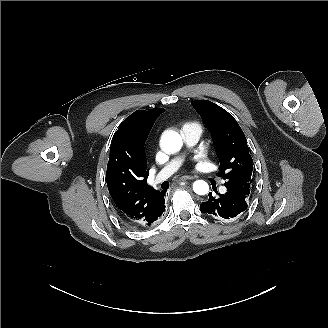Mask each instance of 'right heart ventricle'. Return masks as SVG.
Returning a JSON list of instances; mask_svg holds the SVG:
<instances>
[{"label":"right heart ventricle","mask_w":328,"mask_h":328,"mask_svg":"<svg viewBox=\"0 0 328 328\" xmlns=\"http://www.w3.org/2000/svg\"><path fill=\"white\" fill-rule=\"evenodd\" d=\"M185 127L196 130L200 134V136L204 132V126L200 121L193 120V121L186 122L185 124L182 125L181 132H182V129Z\"/></svg>","instance_id":"right-heart-ventricle-1"}]
</instances>
